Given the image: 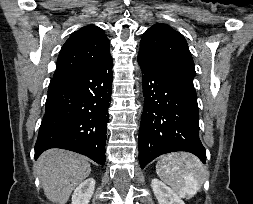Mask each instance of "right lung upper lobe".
<instances>
[{
	"instance_id": "1",
	"label": "right lung upper lobe",
	"mask_w": 253,
	"mask_h": 204,
	"mask_svg": "<svg viewBox=\"0 0 253 204\" xmlns=\"http://www.w3.org/2000/svg\"><path fill=\"white\" fill-rule=\"evenodd\" d=\"M109 40L104 31L88 25L75 31L65 42L52 80L93 67L109 57Z\"/></svg>"
}]
</instances>
